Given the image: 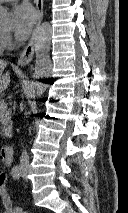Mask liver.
I'll return each instance as SVG.
<instances>
[{"label":"liver","mask_w":128,"mask_h":213,"mask_svg":"<svg viewBox=\"0 0 128 213\" xmlns=\"http://www.w3.org/2000/svg\"><path fill=\"white\" fill-rule=\"evenodd\" d=\"M7 66V62L0 59V93L4 91L10 84V73L3 74L4 69Z\"/></svg>","instance_id":"1"}]
</instances>
